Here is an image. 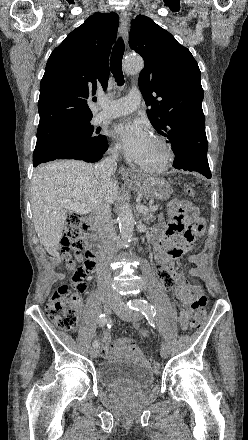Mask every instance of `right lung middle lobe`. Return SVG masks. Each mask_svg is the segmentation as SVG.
<instances>
[{"instance_id": "1", "label": "right lung middle lobe", "mask_w": 248, "mask_h": 440, "mask_svg": "<svg viewBox=\"0 0 248 440\" xmlns=\"http://www.w3.org/2000/svg\"><path fill=\"white\" fill-rule=\"evenodd\" d=\"M90 120L78 121L63 133H55L54 130L38 131L37 139L48 136L55 145L62 147L73 144H81V147L99 145L102 137L93 135L94 127L90 125Z\"/></svg>"}]
</instances>
